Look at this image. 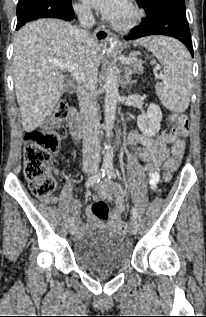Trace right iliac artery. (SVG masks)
I'll return each mask as SVG.
<instances>
[{
    "mask_svg": "<svg viewBox=\"0 0 206 317\" xmlns=\"http://www.w3.org/2000/svg\"><path fill=\"white\" fill-rule=\"evenodd\" d=\"M106 172H107V168L102 167L99 172H97L96 174H94L87 180L86 187H92L96 183H99L100 180L105 176ZM68 222L72 224L74 222L73 217H70Z\"/></svg>",
    "mask_w": 206,
    "mask_h": 317,
    "instance_id": "right-iliac-artery-1",
    "label": "right iliac artery"
}]
</instances>
